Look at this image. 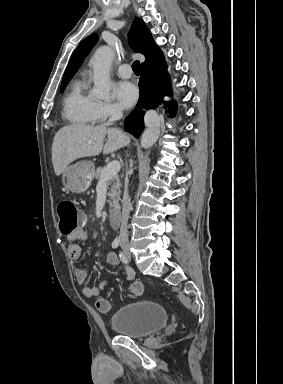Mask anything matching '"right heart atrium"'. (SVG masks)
I'll return each mask as SVG.
<instances>
[{"label":"right heart atrium","instance_id":"d8ad5b80","mask_svg":"<svg viewBox=\"0 0 283 384\" xmlns=\"http://www.w3.org/2000/svg\"><path fill=\"white\" fill-rule=\"evenodd\" d=\"M97 112L99 121H106L119 113V107L110 102H98Z\"/></svg>","mask_w":283,"mask_h":384}]
</instances>
